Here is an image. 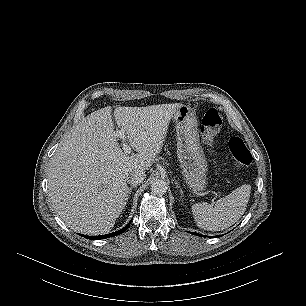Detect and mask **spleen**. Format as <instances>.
Returning a JSON list of instances; mask_svg holds the SVG:
<instances>
[{"label":"spleen","instance_id":"1","mask_svg":"<svg viewBox=\"0 0 306 306\" xmlns=\"http://www.w3.org/2000/svg\"><path fill=\"white\" fill-rule=\"evenodd\" d=\"M250 185H242L214 205L197 203L191 208L197 226L208 231L224 230L236 223L244 214L249 198Z\"/></svg>","mask_w":306,"mask_h":306}]
</instances>
